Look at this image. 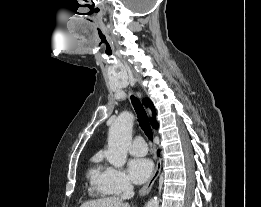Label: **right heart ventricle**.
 <instances>
[{
    "label": "right heart ventricle",
    "instance_id": "e07e8e85",
    "mask_svg": "<svg viewBox=\"0 0 261 207\" xmlns=\"http://www.w3.org/2000/svg\"><path fill=\"white\" fill-rule=\"evenodd\" d=\"M101 156L96 155L91 160V167L88 170L89 179L92 185V191L97 195H106V192L100 185V177L103 170L100 168Z\"/></svg>",
    "mask_w": 261,
    "mask_h": 207
}]
</instances>
